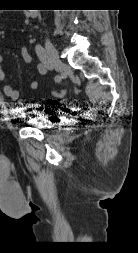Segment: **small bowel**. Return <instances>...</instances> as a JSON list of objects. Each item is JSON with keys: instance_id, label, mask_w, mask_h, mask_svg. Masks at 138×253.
Here are the masks:
<instances>
[{"instance_id": "1", "label": "small bowel", "mask_w": 138, "mask_h": 253, "mask_svg": "<svg viewBox=\"0 0 138 253\" xmlns=\"http://www.w3.org/2000/svg\"><path fill=\"white\" fill-rule=\"evenodd\" d=\"M21 56H22V59L25 63H31L32 62V56H31L28 49H26V48L22 49ZM2 60H3L2 56L0 55V82L5 81V74H4V71H3L2 66H1ZM36 72L39 75H45L47 73V68L42 63L37 64L36 65ZM38 87H39V82L37 80H32L30 82V88L31 89L35 90ZM4 93L11 100L19 101L20 104H22V105L27 103V100L25 98L21 99L20 92L10 84H6L4 86Z\"/></svg>"}]
</instances>
